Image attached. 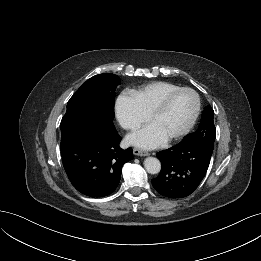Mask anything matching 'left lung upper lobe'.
Listing matches in <instances>:
<instances>
[{"instance_id":"left-lung-upper-lobe-1","label":"left lung upper lobe","mask_w":261,"mask_h":261,"mask_svg":"<svg viewBox=\"0 0 261 261\" xmlns=\"http://www.w3.org/2000/svg\"><path fill=\"white\" fill-rule=\"evenodd\" d=\"M214 111L208 106L202 113L201 122L194 133H190L182 141H193L206 144L213 151L216 129L213 122Z\"/></svg>"}]
</instances>
